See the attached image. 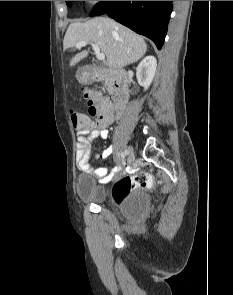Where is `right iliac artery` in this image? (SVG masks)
I'll list each match as a JSON object with an SVG mask.
<instances>
[{
	"label": "right iliac artery",
	"instance_id": "obj_1",
	"mask_svg": "<svg viewBox=\"0 0 233 295\" xmlns=\"http://www.w3.org/2000/svg\"><path fill=\"white\" fill-rule=\"evenodd\" d=\"M124 155H128V148H125Z\"/></svg>",
	"mask_w": 233,
	"mask_h": 295
}]
</instances>
